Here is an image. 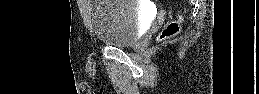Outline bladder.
<instances>
[{"mask_svg": "<svg viewBox=\"0 0 259 94\" xmlns=\"http://www.w3.org/2000/svg\"><path fill=\"white\" fill-rule=\"evenodd\" d=\"M90 18L95 36L110 46L128 47L141 37L142 10L135 1H91Z\"/></svg>", "mask_w": 259, "mask_h": 94, "instance_id": "bladder-1", "label": "bladder"}]
</instances>
